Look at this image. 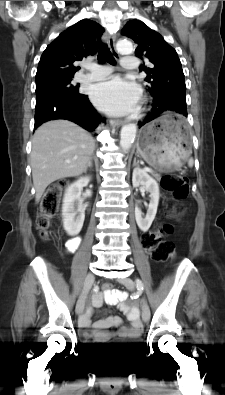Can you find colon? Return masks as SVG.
Masks as SVG:
<instances>
[{
  "label": "colon",
  "instance_id": "obj_1",
  "mask_svg": "<svg viewBox=\"0 0 225 395\" xmlns=\"http://www.w3.org/2000/svg\"><path fill=\"white\" fill-rule=\"evenodd\" d=\"M161 182L164 189L172 194L175 203L167 212L169 221L159 223L153 231L147 233L143 237V245L155 261L166 262L174 258L175 245L164 238L172 233V222L179 221L184 213V200L189 193V180L184 175L168 174L162 177ZM65 187L64 180L51 184L39 202L36 225L43 239H47L50 234L53 219L58 214L59 199ZM102 286L106 292H109L112 283L103 281Z\"/></svg>",
  "mask_w": 225,
  "mask_h": 395
}]
</instances>
